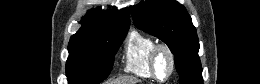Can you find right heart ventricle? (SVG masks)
I'll use <instances>...</instances> for the list:
<instances>
[{"instance_id":"e07e8e85","label":"right heart ventricle","mask_w":260,"mask_h":84,"mask_svg":"<svg viewBox=\"0 0 260 84\" xmlns=\"http://www.w3.org/2000/svg\"><path fill=\"white\" fill-rule=\"evenodd\" d=\"M156 41L149 35L133 30L127 40L124 54V70L138 77L153 79L150 58Z\"/></svg>"}]
</instances>
